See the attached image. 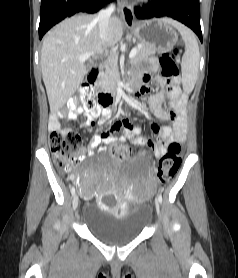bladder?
<instances>
[{
  "instance_id": "31cf9c89",
  "label": "bladder",
  "mask_w": 238,
  "mask_h": 278,
  "mask_svg": "<svg viewBox=\"0 0 238 278\" xmlns=\"http://www.w3.org/2000/svg\"><path fill=\"white\" fill-rule=\"evenodd\" d=\"M148 205H133L124 215L116 216L102 210L97 204H85L82 223L99 241L108 245H120L136 239L151 221Z\"/></svg>"
}]
</instances>
